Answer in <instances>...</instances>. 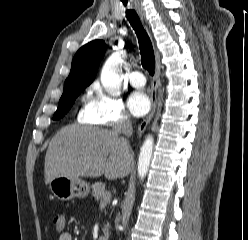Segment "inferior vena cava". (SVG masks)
<instances>
[{"mask_svg":"<svg viewBox=\"0 0 248 240\" xmlns=\"http://www.w3.org/2000/svg\"><path fill=\"white\" fill-rule=\"evenodd\" d=\"M114 132L118 134H123L126 137H130L133 132L131 122L127 119L119 121L114 127ZM128 142V141H127Z\"/></svg>","mask_w":248,"mask_h":240,"instance_id":"inferior-vena-cava-1","label":"inferior vena cava"}]
</instances>
